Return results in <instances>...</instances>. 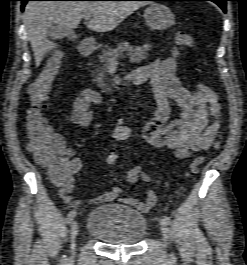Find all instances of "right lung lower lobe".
<instances>
[{"label": "right lung lower lobe", "mask_w": 247, "mask_h": 265, "mask_svg": "<svg viewBox=\"0 0 247 265\" xmlns=\"http://www.w3.org/2000/svg\"><path fill=\"white\" fill-rule=\"evenodd\" d=\"M20 1H22L21 10H23L27 1H30V0H20ZM88 1H97V0H88Z\"/></svg>", "instance_id": "1"}]
</instances>
